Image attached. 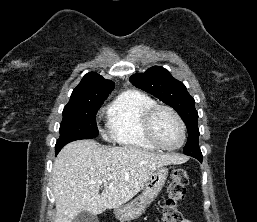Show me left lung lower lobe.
I'll use <instances>...</instances> for the list:
<instances>
[{
  "mask_svg": "<svg viewBox=\"0 0 257 222\" xmlns=\"http://www.w3.org/2000/svg\"><path fill=\"white\" fill-rule=\"evenodd\" d=\"M196 159H198L200 162H202V157H196Z\"/></svg>",
  "mask_w": 257,
  "mask_h": 222,
  "instance_id": "1",
  "label": "left lung lower lobe"
}]
</instances>
